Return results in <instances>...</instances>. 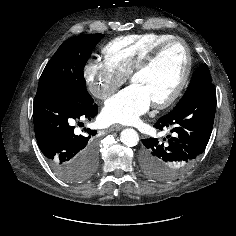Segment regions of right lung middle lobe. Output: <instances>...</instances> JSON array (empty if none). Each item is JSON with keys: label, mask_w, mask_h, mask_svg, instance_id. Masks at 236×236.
Masks as SVG:
<instances>
[{"label": "right lung middle lobe", "mask_w": 236, "mask_h": 236, "mask_svg": "<svg viewBox=\"0 0 236 236\" xmlns=\"http://www.w3.org/2000/svg\"><path fill=\"white\" fill-rule=\"evenodd\" d=\"M103 37L104 34H85L66 40L47 63L36 96L51 95L76 102H93L86 90L83 69L92 49ZM96 165V158L82 165L78 180L88 178Z\"/></svg>", "instance_id": "obj_1"}]
</instances>
